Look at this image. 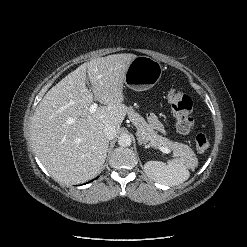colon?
Returning a JSON list of instances; mask_svg holds the SVG:
<instances>
[{
    "instance_id": "colon-1",
    "label": "colon",
    "mask_w": 247,
    "mask_h": 247,
    "mask_svg": "<svg viewBox=\"0 0 247 247\" xmlns=\"http://www.w3.org/2000/svg\"><path fill=\"white\" fill-rule=\"evenodd\" d=\"M168 102L171 105L175 119L176 129L180 134H188L193 127L191 116L192 100L183 91L172 87L167 94ZM209 147V140L203 133L195 137V148L199 153L205 152Z\"/></svg>"
}]
</instances>
